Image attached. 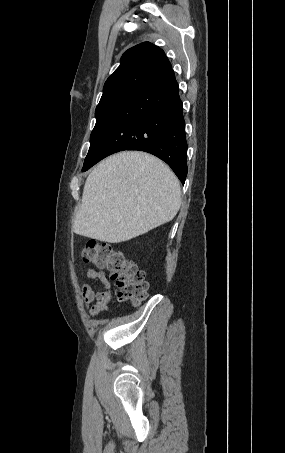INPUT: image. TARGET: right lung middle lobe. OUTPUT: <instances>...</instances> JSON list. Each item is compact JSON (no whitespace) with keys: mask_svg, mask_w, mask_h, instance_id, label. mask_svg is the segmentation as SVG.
I'll return each mask as SVG.
<instances>
[{"mask_svg":"<svg viewBox=\"0 0 285 453\" xmlns=\"http://www.w3.org/2000/svg\"><path fill=\"white\" fill-rule=\"evenodd\" d=\"M133 94H124L98 104L95 111L96 124L90 136V148L85 158L83 169L91 163L95 152L100 147L115 118Z\"/></svg>","mask_w":285,"mask_h":453,"instance_id":"1","label":"right lung middle lobe"}]
</instances>
